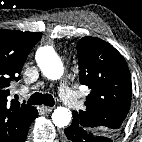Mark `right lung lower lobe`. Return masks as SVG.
<instances>
[{
    "instance_id": "obj_1",
    "label": "right lung lower lobe",
    "mask_w": 142,
    "mask_h": 142,
    "mask_svg": "<svg viewBox=\"0 0 142 142\" xmlns=\"http://www.w3.org/2000/svg\"><path fill=\"white\" fill-rule=\"evenodd\" d=\"M37 116H38V111H37ZM27 132H28V130L26 131L25 135H23V137L21 138V140L19 142H24L26 140Z\"/></svg>"
}]
</instances>
